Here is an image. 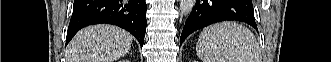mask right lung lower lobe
<instances>
[{
  "mask_svg": "<svg viewBox=\"0 0 331 62\" xmlns=\"http://www.w3.org/2000/svg\"><path fill=\"white\" fill-rule=\"evenodd\" d=\"M146 10L145 0H75L66 44L83 27L108 23L127 30L143 46Z\"/></svg>",
  "mask_w": 331,
  "mask_h": 62,
  "instance_id": "98d812e1",
  "label": "right lung lower lobe"
}]
</instances>
